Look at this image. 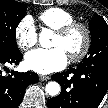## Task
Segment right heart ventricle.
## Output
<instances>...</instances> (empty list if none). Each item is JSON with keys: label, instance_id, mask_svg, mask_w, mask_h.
Returning <instances> with one entry per match:
<instances>
[{"label": "right heart ventricle", "instance_id": "e07e8e85", "mask_svg": "<svg viewBox=\"0 0 108 108\" xmlns=\"http://www.w3.org/2000/svg\"><path fill=\"white\" fill-rule=\"evenodd\" d=\"M38 18L44 26L53 30L75 21L73 14L61 8H49L40 13Z\"/></svg>", "mask_w": 108, "mask_h": 108}]
</instances>
